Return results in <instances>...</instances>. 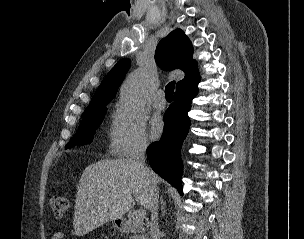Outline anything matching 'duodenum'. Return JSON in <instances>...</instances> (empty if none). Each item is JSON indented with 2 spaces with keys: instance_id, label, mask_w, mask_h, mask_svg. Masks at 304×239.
Masks as SVG:
<instances>
[{
  "instance_id": "1",
  "label": "duodenum",
  "mask_w": 304,
  "mask_h": 239,
  "mask_svg": "<svg viewBox=\"0 0 304 239\" xmlns=\"http://www.w3.org/2000/svg\"><path fill=\"white\" fill-rule=\"evenodd\" d=\"M117 226L119 230L123 233L129 234L135 230V226L126 219H120L117 221ZM145 239H147V236H144Z\"/></svg>"
}]
</instances>
